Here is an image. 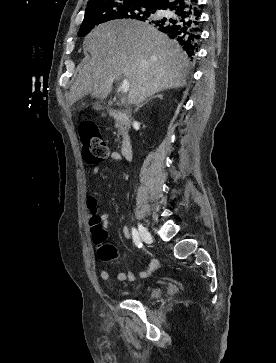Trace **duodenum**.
<instances>
[{
  "label": "duodenum",
  "mask_w": 276,
  "mask_h": 363,
  "mask_svg": "<svg viewBox=\"0 0 276 363\" xmlns=\"http://www.w3.org/2000/svg\"><path fill=\"white\" fill-rule=\"evenodd\" d=\"M108 115L113 119L119 121L123 128L125 129L122 141H121V154L124 160H130L133 155V145L130 134L128 133V128L130 125L129 113L122 109L109 108L107 110Z\"/></svg>",
  "instance_id": "1"
}]
</instances>
